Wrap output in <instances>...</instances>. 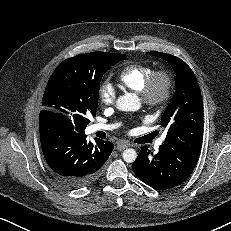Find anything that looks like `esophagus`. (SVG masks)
I'll return each instance as SVG.
<instances>
[{
  "mask_svg": "<svg viewBox=\"0 0 231 231\" xmlns=\"http://www.w3.org/2000/svg\"><path fill=\"white\" fill-rule=\"evenodd\" d=\"M129 146V144L124 143V142H119L116 146V149L118 151H123L124 149H126Z\"/></svg>",
  "mask_w": 231,
  "mask_h": 231,
  "instance_id": "34e87169",
  "label": "esophagus"
}]
</instances>
